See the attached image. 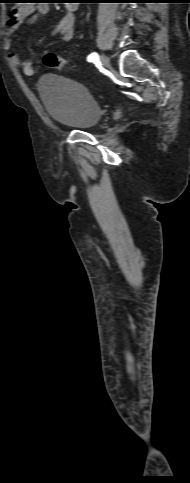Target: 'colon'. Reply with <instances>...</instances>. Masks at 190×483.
<instances>
[{"mask_svg":"<svg viewBox=\"0 0 190 483\" xmlns=\"http://www.w3.org/2000/svg\"><path fill=\"white\" fill-rule=\"evenodd\" d=\"M42 62L49 69L67 70L72 68L69 60L62 58L54 52H46L42 57Z\"/></svg>","mask_w":190,"mask_h":483,"instance_id":"colon-1","label":"colon"}]
</instances>
